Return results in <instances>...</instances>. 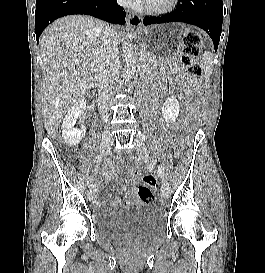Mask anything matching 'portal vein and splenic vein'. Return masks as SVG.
I'll return each instance as SVG.
<instances>
[{"label": "portal vein and splenic vein", "mask_w": 265, "mask_h": 273, "mask_svg": "<svg viewBox=\"0 0 265 273\" xmlns=\"http://www.w3.org/2000/svg\"><path fill=\"white\" fill-rule=\"evenodd\" d=\"M141 56H145V54L141 52Z\"/></svg>", "instance_id": "18ae733b"}]
</instances>
